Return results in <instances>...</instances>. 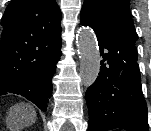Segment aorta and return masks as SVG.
I'll use <instances>...</instances> for the list:
<instances>
[{
    "mask_svg": "<svg viewBox=\"0 0 151 131\" xmlns=\"http://www.w3.org/2000/svg\"><path fill=\"white\" fill-rule=\"evenodd\" d=\"M78 54L80 58V77L82 85L91 86L100 71V54L94 33L88 28H81L77 38Z\"/></svg>",
    "mask_w": 151,
    "mask_h": 131,
    "instance_id": "1",
    "label": "aorta"
}]
</instances>
